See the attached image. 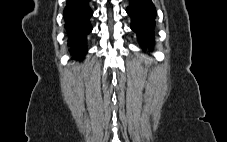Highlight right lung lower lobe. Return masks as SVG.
Wrapping results in <instances>:
<instances>
[{
    "instance_id": "98d812e1",
    "label": "right lung lower lobe",
    "mask_w": 227,
    "mask_h": 142,
    "mask_svg": "<svg viewBox=\"0 0 227 142\" xmlns=\"http://www.w3.org/2000/svg\"><path fill=\"white\" fill-rule=\"evenodd\" d=\"M93 11L89 0H67L64 9L65 28L69 40L68 45L74 57H83L86 53V35L92 31L90 17Z\"/></svg>"
}]
</instances>
